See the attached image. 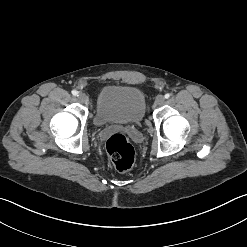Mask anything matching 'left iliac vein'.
<instances>
[{
	"mask_svg": "<svg viewBox=\"0 0 247 247\" xmlns=\"http://www.w3.org/2000/svg\"><path fill=\"white\" fill-rule=\"evenodd\" d=\"M155 102H156L157 105H162L165 102V97L162 96V95H158L156 97V101Z\"/></svg>",
	"mask_w": 247,
	"mask_h": 247,
	"instance_id": "left-iliac-vein-1",
	"label": "left iliac vein"
}]
</instances>
